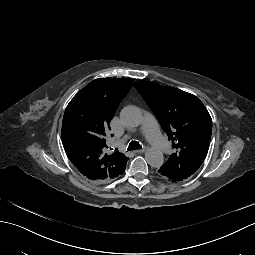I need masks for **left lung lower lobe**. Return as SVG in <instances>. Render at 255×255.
I'll list each match as a JSON object with an SVG mask.
<instances>
[{
  "instance_id": "obj_1",
  "label": "left lung lower lobe",
  "mask_w": 255,
  "mask_h": 255,
  "mask_svg": "<svg viewBox=\"0 0 255 255\" xmlns=\"http://www.w3.org/2000/svg\"><path fill=\"white\" fill-rule=\"evenodd\" d=\"M158 174L161 178H165L166 180H169V181H174V176H171L170 174L165 173L163 169H158Z\"/></svg>"
}]
</instances>
